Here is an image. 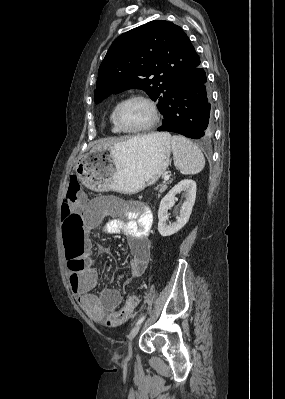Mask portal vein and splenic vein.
Masks as SVG:
<instances>
[{
  "label": "portal vein and splenic vein",
  "instance_id": "obj_1",
  "mask_svg": "<svg viewBox=\"0 0 285 399\" xmlns=\"http://www.w3.org/2000/svg\"><path fill=\"white\" fill-rule=\"evenodd\" d=\"M169 175H166L165 177H164V181H167V180H169Z\"/></svg>",
  "mask_w": 285,
  "mask_h": 399
}]
</instances>
